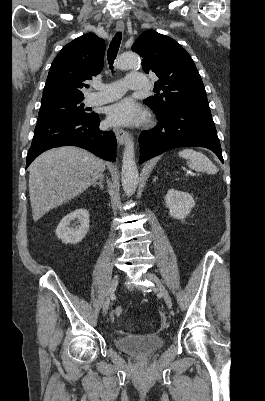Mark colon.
Instances as JSON below:
<instances>
[{
    "label": "colon",
    "mask_w": 265,
    "mask_h": 401,
    "mask_svg": "<svg viewBox=\"0 0 265 401\" xmlns=\"http://www.w3.org/2000/svg\"><path fill=\"white\" fill-rule=\"evenodd\" d=\"M123 314V308L122 307H116L113 312H112V318H117L120 317Z\"/></svg>",
    "instance_id": "1"
}]
</instances>
